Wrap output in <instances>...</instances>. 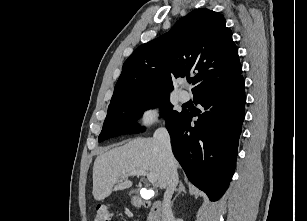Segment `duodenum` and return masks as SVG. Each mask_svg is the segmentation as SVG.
I'll list each match as a JSON object with an SVG mask.
<instances>
[{"mask_svg": "<svg viewBox=\"0 0 307 221\" xmlns=\"http://www.w3.org/2000/svg\"><path fill=\"white\" fill-rule=\"evenodd\" d=\"M140 205L149 208L150 221H161L162 203L159 200H142Z\"/></svg>", "mask_w": 307, "mask_h": 221, "instance_id": "1", "label": "duodenum"}]
</instances>
